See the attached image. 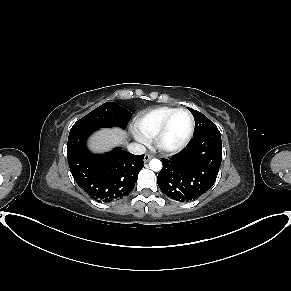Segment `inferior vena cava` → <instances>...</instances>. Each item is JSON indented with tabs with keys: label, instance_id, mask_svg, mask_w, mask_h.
I'll list each match as a JSON object with an SVG mask.
<instances>
[{
	"label": "inferior vena cava",
	"instance_id": "inferior-vena-cava-1",
	"mask_svg": "<svg viewBox=\"0 0 291 291\" xmlns=\"http://www.w3.org/2000/svg\"><path fill=\"white\" fill-rule=\"evenodd\" d=\"M128 150L135 155H142L146 152L145 146L138 143L128 145Z\"/></svg>",
	"mask_w": 291,
	"mask_h": 291
}]
</instances>
